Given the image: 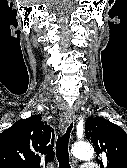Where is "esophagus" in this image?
Returning a JSON list of instances; mask_svg holds the SVG:
<instances>
[{
	"label": "esophagus",
	"instance_id": "1",
	"mask_svg": "<svg viewBox=\"0 0 127 168\" xmlns=\"http://www.w3.org/2000/svg\"><path fill=\"white\" fill-rule=\"evenodd\" d=\"M75 119L73 110H66L60 117V129L64 131Z\"/></svg>",
	"mask_w": 127,
	"mask_h": 168
}]
</instances>
